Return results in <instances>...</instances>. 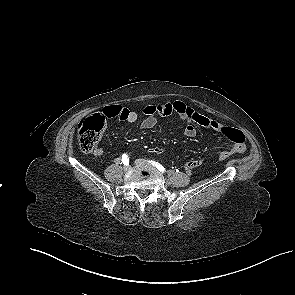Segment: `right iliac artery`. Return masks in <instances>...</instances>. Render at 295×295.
I'll use <instances>...</instances> for the list:
<instances>
[{
    "mask_svg": "<svg viewBox=\"0 0 295 295\" xmlns=\"http://www.w3.org/2000/svg\"><path fill=\"white\" fill-rule=\"evenodd\" d=\"M116 162L117 163H123L124 165H128L129 164V157H128V155L127 154H123L122 155V158L120 159V158H117L116 159Z\"/></svg>",
    "mask_w": 295,
    "mask_h": 295,
    "instance_id": "obj_1",
    "label": "right iliac artery"
}]
</instances>
